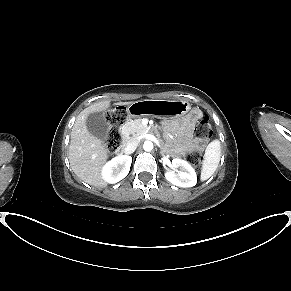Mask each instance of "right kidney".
<instances>
[{"mask_svg": "<svg viewBox=\"0 0 291 291\" xmlns=\"http://www.w3.org/2000/svg\"><path fill=\"white\" fill-rule=\"evenodd\" d=\"M132 163V157L121 155L108 161L101 170V176L107 183L114 184L127 176Z\"/></svg>", "mask_w": 291, "mask_h": 291, "instance_id": "obj_1", "label": "right kidney"}]
</instances>
